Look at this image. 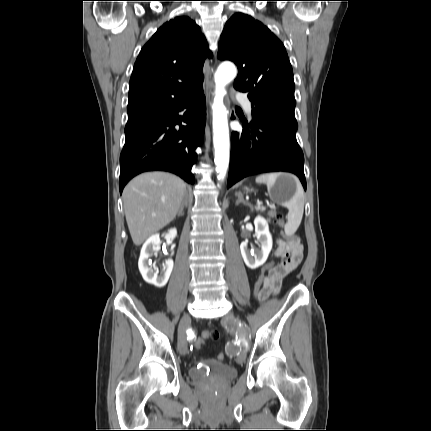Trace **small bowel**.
<instances>
[{"mask_svg":"<svg viewBox=\"0 0 431 431\" xmlns=\"http://www.w3.org/2000/svg\"><path fill=\"white\" fill-rule=\"evenodd\" d=\"M301 242L302 239L299 236L288 242L277 240L274 256L282 258V261L271 268H267L266 273H262L265 277L263 279V288L258 291L259 301L276 295L279 292L283 278L299 266L303 258ZM201 344L203 345V342Z\"/></svg>","mask_w":431,"mask_h":431,"instance_id":"small-bowel-1","label":"small bowel"}]
</instances>
